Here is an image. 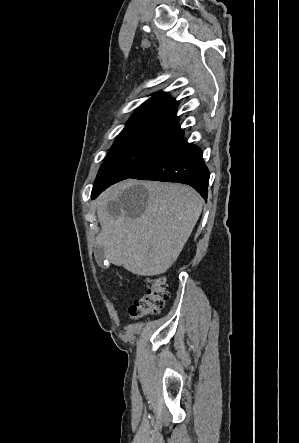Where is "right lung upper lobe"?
<instances>
[{"instance_id":"obj_1","label":"right lung upper lobe","mask_w":299,"mask_h":443,"mask_svg":"<svg viewBox=\"0 0 299 443\" xmlns=\"http://www.w3.org/2000/svg\"><path fill=\"white\" fill-rule=\"evenodd\" d=\"M177 123V103L166 93H156L144 102L131 116L123 130L143 122Z\"/></svg>"}]
</instances>
